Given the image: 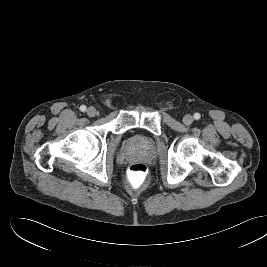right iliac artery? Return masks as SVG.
Wrapping results in <instances>:
<instances>
[{"mask_svg": "<svg viewBox=\"0 0 267 267\" xmlns=\"http://www.w3.org/2000/svg\"><path fill=\"white\" fill-rule=\"evenodd\" d=\"M80 110H81L82 112L86 111V106H84V105L80 106Z\"/></svg>", "mask_w": 267, "mask_h": 267, "instance_id": "82829eb1", "label": "right iliac artery"}]
</instances>
